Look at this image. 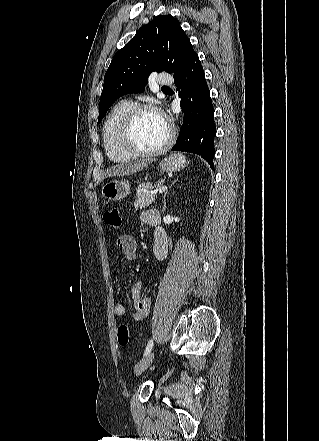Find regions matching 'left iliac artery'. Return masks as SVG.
I'll return each instance as SVG.
<instances>
[{
  "instance_id": "1",
  "label": "left iliac artery",
  "mask_w": 319,
  "mask_h": 441,
  "mask_svg": "<svg viewBox=\"0 0 319 441\" xmlns=\"http://www.w3.org/2000/svg\"><path fill=\"white\" fill-rule=\"evenodd\" d=\"M152 348H153V340L150 339L149 342H148V344H147V347H146V349H145L144 356H146L147 354H149L150 351L152 350Z\"/></svg>"
}]
</instances>
